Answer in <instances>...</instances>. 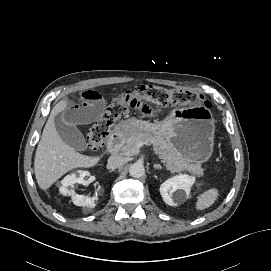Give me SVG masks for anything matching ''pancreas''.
<instances>
[{"mask_svg": "<svg viewBox=\"0 0 271 271\" xmlns=\"http://www.w3.org/2000/svg\"><path fill=\"white\" fill-rule=\"evenodd\" d=\"M139 143L152 145L155 154L171 173L189 171L197 177H201L204 174V170L200 163L191 164L186 161L173 145L160 135H152L143 131L131 134L126 140L125 145L121 148L123 154L126 156L138 154Z\"/></svg>", "mask_w": 271, "mask_h": 271, "instance_id": "obj_1", "label": "pancreas"}]
</instances>
